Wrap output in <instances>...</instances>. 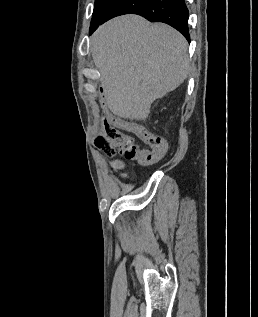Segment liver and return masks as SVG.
<instances>
[{
	"mask_svg": "<svg viewBox=\"0 0 258 317\" xmlns=\"http://www.w3.org/2000/svg\"><path fill=\"white\" fill-rule=\"evenodd\" d=\"M187 44L169 24H152L138 14L101 24L91 36V50L113 114L145 120L152 102L187 78Z\"/></svg>",
	"mask_w": 258,
	"mask_h": 317,
	"instance_id": "6515ba94",
	"label": "liver"
}]
</instances>
